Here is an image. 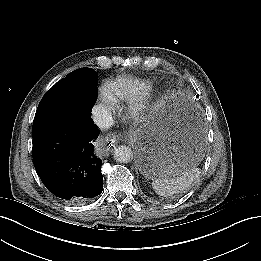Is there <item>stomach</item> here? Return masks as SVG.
<instances>
[{
  "label": "stomach",
  "mask_w": 261,
  "mask_h": 261,
  "mask_svg": "<svg viewBox=\"0 0 261 261\" xmlns=\"http://www.w3.org/2000/svg\"><path fill=\"white\" fill-rule=\"evenodd\" d=\"M185 96L170 94L154 106L149 119L131 132L141 173L151 179L168 170H187L200 159L201 142L186 130Z\"/></svg>",
  "instance_id": "0dacf381"
}]
</instances>
